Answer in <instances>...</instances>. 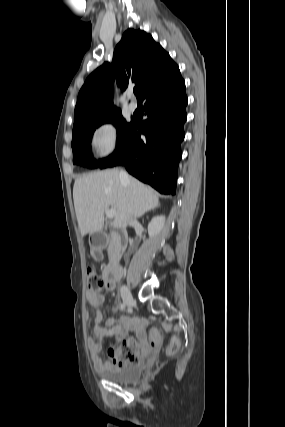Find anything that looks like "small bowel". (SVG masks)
<instances>
[{"instance_id":"obj_1","label":"small bowel","mask_w":285,"mask_h":427,"mask_svg":"<svg viewBox=\"0 0 285 427\" xmlns=\"http://www.w3.org/2000/svg\"><path fill=\"white\" fill-rule=\"evenodd\" d=\"M103 279H104L105 289L113 290L115 288V285H116L115 281H111V282L107 281L104 277V274H103ZM86 297H87L88 303L95 309L93 318H92V331L95 336L100 338L115 337L118 341H121L123 344L126 341L130 340L127 338V336L130 332L134 331L138 336V340H139L138 344L140 345V347L144 349V352L142 355H144L148 351L149 346L147 344L146 337L144 334L145 321L143 319L138 317L123 315L119 319L108 318L105 321L104 325H100V323L103 320V314L101 312V308L104 304L105 297L102 293H91V292L87 293ZM111 311H114V309H111ZM89 348H90L91 357H92L94 366L97 370L119 368L131 363V362L121 361L120 348L108 350L107 354L111 359V361L109 362H103L100 359L99 354L101 351V346L95 340L93 339L90 340Z\"/></svg>"}]
</instances>
